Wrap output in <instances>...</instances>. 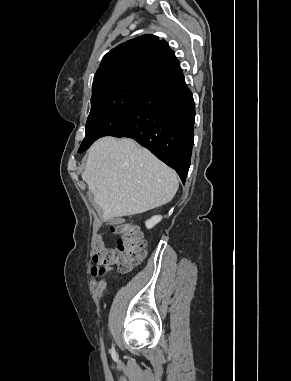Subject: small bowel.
Returning a JSON list of instances; mask_svg holds the SVG:
<instances>
[{"label":"small bowel","instance_id":"c3829d8e","mask_svg":"<svg viewBox=\"0 0 291 381\" xmlns=\"http://www.w3.org/2000/svg\"><path fill=\"white\" fill-rule=\"evenodd\" d=\"M97 249L101 248L104 246L102 237L99 235L97 236V242H96Z\"/></svg>","mask_w":291,"mask_h":381}]
</instances>
